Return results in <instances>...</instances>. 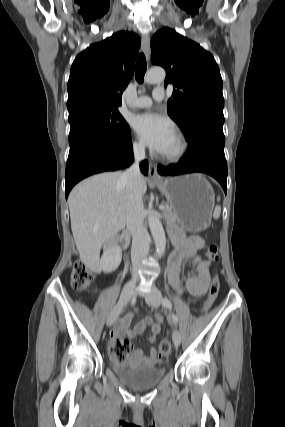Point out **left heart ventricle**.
I'll use <instances>...</instances> for the list:
<instances>
[{
	"mask_svg": "<svg viewBox=\"0 0 285 427\" xmlns=\"http://www.w3.org/2000/svg\"><path fill=\"white\" fill-rule=\"evenodd\" d=\"M178 146V142L177 139L175 137V135L172 137L171 141L169 142L168 146L166 147V149L161 153V154H169L174 152L177 149Z\"/></svg>",
	"mask_w": 285,
	"mask_h": 427,
	"instance_id": "obj_1",
	"label": "left heart ventricle"
}]
</instances>
